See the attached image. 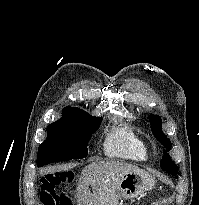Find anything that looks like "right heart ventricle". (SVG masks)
I'll list each match as a JSON object with an SVG mask.
<instances>
[{
	"label": "right heart ventricle",
	"instance_id": "right-heart-ventricle-1",
	"mask_svg": "<svg viewBox=\"0 0 199 205\" xmlns=\"http://www.w3.org/2000/svg\"><path fill=\"white\" fill-rule=\"evenodd\" d=\"M104 152L110 157L133 161H144L148 157L144 140L126 125L115 128L106 136Z\"/></svg>",
	"mask_w": 199,
	"mask_h": 205
}]
</instances>
